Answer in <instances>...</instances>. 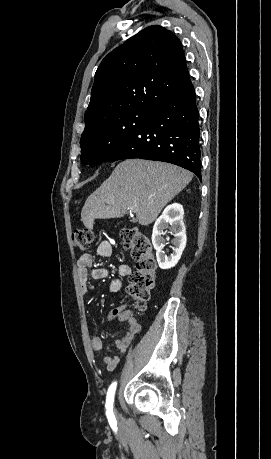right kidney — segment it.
<instances>
[{"label":"right kidney","instance_id":"ca27d5eb","mask_svg":"<svg viewBox=\"0 0 271 459\" xmlns=\"http://www.w3.org/2000/svg\"><path fill=\"white\" fill-rule=\"evenodd\" d=\"M183 218L184 210L181 204H171V206L165 208L162 216L156 220L153 226L152 243L156 249L159 267H162V269L174 267L182 255L186 245V228ZM166 228L170 229L168 233L175 235L174 239H172L174 247L170 255H166L165 251H163L165 239L162 237V233H166V231H163Z\"/></svg>","mask_w":271,"mask_h":459}]
</instances>
